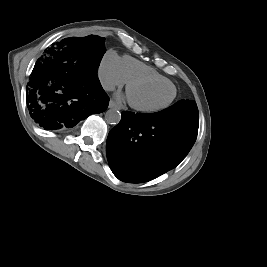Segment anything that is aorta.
I'll return each mask as SVG.
<instances>
[{
  "label": "aorta",
  "instance_id": "762f6f07",
  "mask_svg": "<svg viewBox=\"0 0 267 267\" xmlns=\"http://www.w3.org/2000/svg\"><path fill=\"white\" fill-rule=\"evenodd\" d=\"M105 119L109 124H118L121 120V113L119 110L112 108L106 111Z\"/></svg>",
  "mask_w": 267,
  "mask_h": 267
}]
</instances>
